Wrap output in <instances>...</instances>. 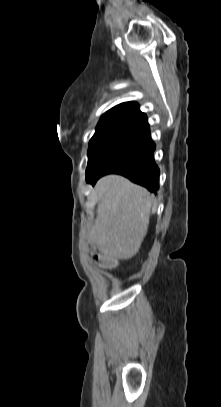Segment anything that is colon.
I'll use <instances>...</instances> for the list:
<instances>
[{
	"mask_svg": "<svg viewBox=\"0 0 221 407\" xmlns=\"http://www.w3.org/2000/svg\"><path fill=\"white\" fill-rule=\"evenodd\" d=\"M101 268L105 269L106 271L110 270L109 266H113L114 268H117L120 265V262L117 259H114L113 261L111 259L108 258V256L106 254H103L101 256Z\"/></svg>",
	"mask_w": 221,
	"mask_h": 407,
	"instance_id": "5ec220e1",
	"label": "colon"
}]
</instances>
